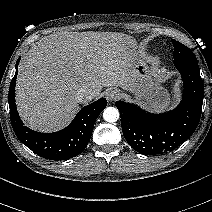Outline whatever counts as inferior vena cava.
Wrapping results in <instances>:
<instances>
[{"mask_svg":"<svg viewBox=\"0 0 212 212\" xmlns=\"http://www.w3.org/2000/svg\"><path fill=\"white\" fill-rule=\"evenodd\" d=\"M95 94L91 91H88L86 89H81L76 94V100L79 103H87L91 101L94 98Z\"/></svg>","mask_w":212,"mask_h":212,"instance_id":"602c4592","label":"inferior vena cava"}]
</instances>
